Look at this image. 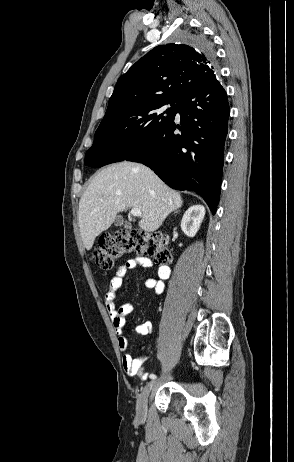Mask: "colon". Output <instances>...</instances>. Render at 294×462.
<instances>
[{
  "instance_id": "obj_1",
  "label": "colon",
  "mask_w": 294,
  "mask_h": 462,
  "mask_svg": "<svg viewBox=\"0 0 294 462\" xmlns=\"http://www.w3.org/2000/svg\"><path fill=\"white\" fill-rule=\"evenodd\" d=\"M131 254L146 255L160 265L172 260L165 234L139 229H119L114 234L103 236L99 248L94 251V258L101 269L110 270L120 259Z\"/></svg>"
}]
</instances>
